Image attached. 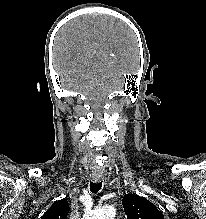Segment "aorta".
<instances>
[{
  "label": "aorta",
  "instance_id": "1",
  "mask_svg": "<svg viewBox=\"0 0 206 219\" xmlns=\"http://www.w3.org/2000/svg\"><path fill=\"white\" fill-rule=\"evenodd\" d=\"M115 208L112 206H105L97 208L85 215V219H115Z\"/></svg>",
  "mask_w": 206,
  "mask_h": 219
}]
</instances>
